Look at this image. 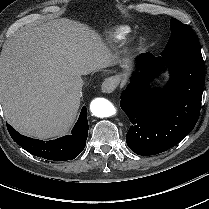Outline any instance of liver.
Returning <instances> with one entry per match:
<instances>
[{
  "label": "liver",
  "mask_w": 209,
  "mask_h": 209,
  "mask_svg": "<svg viewBox=\"0 0 209 209\" xmlns=\"http://www.w3.org/2000/svg\"><path fill=\"white\" fill-rule=\"evenodd\" d=\"M110 50L89 26L67 18L27 26L0 55V103L20 133L49 139L67 134L77 116L76 79L111 66Z\"/></svg>",
  "instance_id": "liver-1"
}]
</instances>
